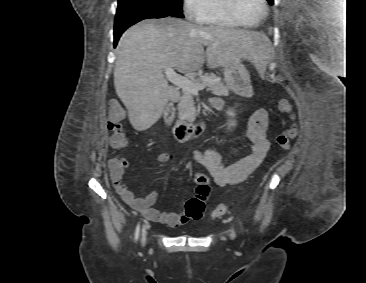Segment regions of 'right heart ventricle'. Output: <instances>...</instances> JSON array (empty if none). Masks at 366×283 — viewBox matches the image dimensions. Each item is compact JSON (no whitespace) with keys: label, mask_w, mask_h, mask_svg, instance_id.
I'll return each mask as SVG.
<instances>
[{"label":"right heart ventricle","mask_w":366,"mask_h":283,"mask_svg":"<svg viewBox=\"0 0 366 283\" xmlns=\"http://www.w3.org/2000/svg\"><path fill=\"white\" fill-rule=\"evenodd\" d=\"M200 22L206 25L228 29L238 26L225 14L221 8L220 0H209L207 11L201 17Z\"/></svg>","instance_id":"1"}]
</instances>
